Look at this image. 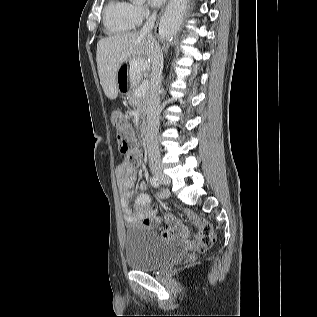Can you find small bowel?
I'll list each match as a JSON object with an SVG mask.
<instances>
[{"mask_svg":"<svg viewBox=\"0 0 317 317\" xmlns=\"http://www.w3.org/2000/svg\"><path fill=\"white\" fill-rule=\"evenodd\" d=\"M118 186L120 190V201L123 210L125 222L128 225L142 223L149 228L156 227L160 219L156 216L151 208V198L143 191L147 188L146 183H141L139 191L134 190V183L136 174L131 171L127 164L119 165L117 169ZM165 193H159V197H164ZM132 202L134 205H132ZM187 217L193 222L198 230L196 239H199L202 234L210 230L209 224L188 211ZM166 228L162 232V237L171 239L174 237L187 238L188 231L185 226L181 225L179 221L170 214L165 215Z\"/></svg>","mask_w":317,"mask_h":317,"instance_id":"obj_1","label":"small bowel"}]
</instances>
